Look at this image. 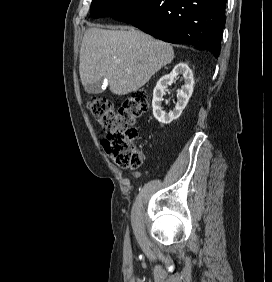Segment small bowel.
<instances>
[{
    "label": "small bowel",
    "instance_id": "small-bowel-1",
    "mask_svg": "<svg viewBox=\"0 0 272 282\" xmlns=\"http://www.w3.org/2000/svg\"><path fill=\"white\" fill-rule=\"evenodd\" d=\"M132 177L134 178H139L140 177V174L138 172H130L129 173Z\"/></svg>",
    "mask_w": 272,
    "mask_h": 282
}]
</instances>
